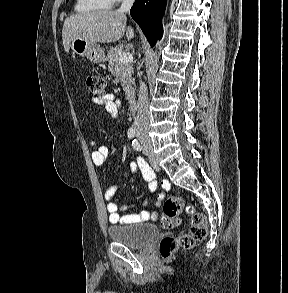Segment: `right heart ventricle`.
<instances>
[{"label": "right heart ventricle", "instance_id": "1", "mask_svg": "<svg viewBox=\"0 0 288 293\" xmlns=\"http://www.w3.org/2000/svg\"><path fill=\"white\" fill-rule=\"evenodd\" d=\"M112 0H76L75 10L79 13L108 10L113 5Z\"/></svg>", "mask_w": 288, "mask_h": 293}]
</instances>
